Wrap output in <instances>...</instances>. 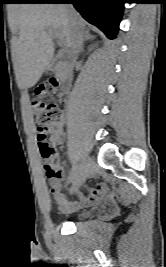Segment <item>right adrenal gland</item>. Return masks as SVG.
<instances>
[{"mask_svg": "<svg viewBox=\"0 0 166 267\" xmlns=\"http://www.w3.org/2000/svg\"><path fill=\"white\" fill-rule=\"evenodd\" d=\"M92 39H94V36L90 34L89 30L88 29L84 30L83 31V43L87 40H92ZM82 51H83V47H82Z\"/></svg>", "mask_w": 166, "mask_h": 267, "instance_id": "obj_1", "label": "right adrenal gland"}]
</instances>
